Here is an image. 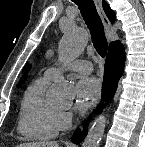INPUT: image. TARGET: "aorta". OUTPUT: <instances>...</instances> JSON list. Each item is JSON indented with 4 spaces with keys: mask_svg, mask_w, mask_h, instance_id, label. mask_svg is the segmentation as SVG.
I'll return each mask as SVG.
<instances>
[{
    "mask_svg": "<svg viewBox=\"0 0 145 147\" xmlns=\"http://www.w3.org/2000/svg\"><path fill=\"white\" fill-rule=\"evenodd\" d=\"M88 41L87 32L79 27L70 26L65 32L59 44V58L68 62L77 58L84 50ZM72 84L63 76L58 77L52 86L51 96L56 100H65L72 95ZM106 127L104 115L98 116L83 143V147H99Z\"/></svg>",
    "mask_w": 145,
    "mask_h": 147,
    "instance_id": "aorta-1",
    "label": "aorta"
}]
</instances>
